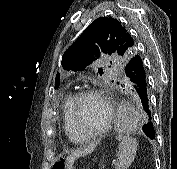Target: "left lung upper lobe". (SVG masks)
Here are the masks:
<instances>
[{
  "instance_id": "1",
  "label": "left lung upper lobe",
  "mask_w": 177,
  "mask_h": 169,
  "mask_svg": "<svg viewBox=\"0 0 177 169\" xmlns=\"http://www.w3.org/2000/svg\"><path fill=\"white\" fill-rule=\"evenodd\" d=\"M137 53L135 40L118 20L100 17L64 53L62 66L68 71L84 70L101 58L113 59L125 66ZM98 73L102 75L104 69L98 68Z\"/></svg>"
}]
</instances>
